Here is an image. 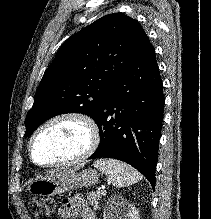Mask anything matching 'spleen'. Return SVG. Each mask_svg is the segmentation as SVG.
I'll list each match as a JSON object with an SVG mask.
<instances>
[{
	"mask_svg": "<svg viewBox=\"0 0 211 219\" xmlns=\"http://www.w3.org/2000/svg\"><path fill=\"white\" fill-rule=\"evenodd\" d=\"M94 167L99 168L118 188L130 186L142 179L141 174L134 168L118 160L100 159L94 163Z\"/></svg>",
	"mask_w": 211,
	"mask_h": 219,
	"instance_id": "3e777b00",
	"label": "spleen"
}]
</instances>
